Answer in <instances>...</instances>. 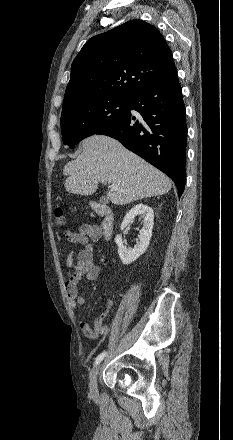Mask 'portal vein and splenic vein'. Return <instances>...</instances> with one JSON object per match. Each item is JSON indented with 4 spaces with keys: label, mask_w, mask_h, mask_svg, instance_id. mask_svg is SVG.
I'll return each instance as SVG.
<instances>
[{
    "label": "portal vein and splenic vein",
    "mask_w": 233,
    "mask_h": 440,
    "mask_svg": "<svg viewBox=\"0 0 233 440\" xmlns=\"http://www.w3.org/2000/svg\"><path fill=\"white\" fill-rule=\"evenodd\" d=\"M110 188L116 190V189H117V186L114 185V184H112V185L110 186Z\"/></svg>",
    "instance_id": "portal-vein-and-splenic-vein-1"
}]
</instances>
